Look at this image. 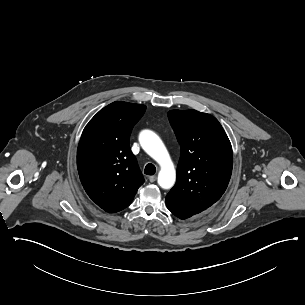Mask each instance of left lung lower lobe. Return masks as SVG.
Wrapping results in <instances>:
<instances>
[{
    "instance_id": "obj_1",
    "label": "left lung lower lobe",
    "mask_w": 305,
    "mask_h": 305,
    "mask_svg": "<svg viewBox=\"0 0 305 305\" xmlns=\"http://www.w3.org/2000/svg\"><path fill=\"white\" fill-rule=\"evenodd\" d=\"M167 208L178 218L180 219H186L189 218L197 213L193 211H189L186 209H183L182 207L176 205L175 203L169 202L166 200Z\"/></svg>"
}]
</instances>
